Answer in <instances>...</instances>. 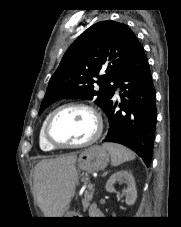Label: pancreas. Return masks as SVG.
I'll return each instance as SVG.
<instances>
[{"instance_id": "pancreas-1", "label": "pancreas", "mask_w": 181, "mask_h": 227, "mask_svg": "<svg viewBox=\"0 0 181 227\" xmlns=\"http://www.w3.org/2000/svg\"><path fill=\"white\" fill-rule=\"evenodd\" d=\"M93 193H94V189H88V191L85 192L84 195V199L82 200V205H83V209L86 210L89 205H90V201H92L93 198Z\"/></svg>"}]
</instances>
